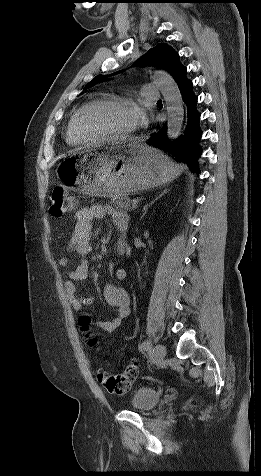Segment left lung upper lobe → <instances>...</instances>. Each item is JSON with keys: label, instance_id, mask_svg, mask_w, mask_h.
<instances>
[{"label": "left lung upper lobe", "instance_id": "5c2ea615", "mask_svg": "<svg viewBox=\"0 0 261 476\" xmlns=\"http://www.w3.org/2000/svg\"><path fill=\"white\" fill-rule=\"evenodd\" d=\"M147 63H151L154 66L161 67L167 70L173 76L174 79H176L178 74L185 68L179 62L178 54L166 44H158L155 48L151 49L145 56L137 60L135 62V65L140 66ZM111 75L96 76L91 82H89L85 89L92 87L94 84Z\"/></svg>", "mask_w": 261, "mask_h": 476}]
</instances>
